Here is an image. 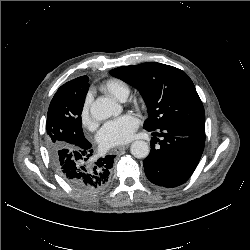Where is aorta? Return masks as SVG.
Here are the masks:
<instances>
[{
	"instance_id": "762f6f07",
	"label": "aorta",
	"mask_w": 250,
	"mask_h": 250,
	"mask_svg": "<svg viewBox=\"0 0 250 250\" xmlns=\"http://www.w3.org/2000/svg\"><path fill=\"white\" fill-rule=\"evenodd\" d=\"M120 112V106L112 98H98L90 108L91 116L96 120H105ZM131 154L136 158H146L149 155L150 148L147 142L143 140L134 141L130 148Z\"/></svg>"
}]
</instances>
